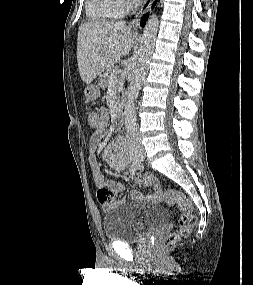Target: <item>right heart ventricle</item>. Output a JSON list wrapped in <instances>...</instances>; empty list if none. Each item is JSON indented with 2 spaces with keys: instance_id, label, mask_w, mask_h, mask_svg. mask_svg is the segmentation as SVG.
Wrapping results in <instances>:
<instances>
[{
  "instance_id": "obj_1",
  "label": "right heart ventricle",
  "mask_w": 253,
  "mask_h": 285,
  "mask_svg": "<svg viewBox=\"0 0 253 285\" xmlns=\"http://www.w3.org/2000/svg\"><path fill=\"white\" fill-rule=\"evenodd\" d=\"M86 14L93 21L119 18L124 13L123 0H85Z\"/></svg>"
}]
</instances>
